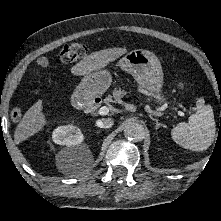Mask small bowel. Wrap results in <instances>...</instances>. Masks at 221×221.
Wrapping results in <instances>:
<instances>
[{
  "mask_svg": "<svg viewBox=\"0 0 221 221\" xmlns=\"http://www.w3.org/2000/svg\"><path fill=\"white\" fill-rule=\"evenodd\" d=\"M40 64H41L42 66H47L48 61H47L46 59H41V60H40Z\"/></svg>",
  "mask_w": 221,
  "mask_h": 221,
  "instance_id": "obj_1",
  "label": "small bowel"
}]
</instances>
